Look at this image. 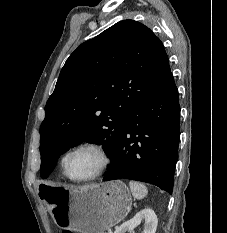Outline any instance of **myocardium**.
I'll return each instance as SVG.
<instances>
[{"instance_id": "myocardium-1", "label": "myocardium", "mask_w": 227, "mask_h": 233, "mask_svg": "<svg viewBox=\"0 0 227 233\" xmlns=\"http://www.w3.org/2000/svg\"><path fill=\"white\" fill-rule=\"evenodd\" d=\"M83 149H91V150L96 151L101 158V164H100L99 168L92 175H90L86 178H82V179H74L69 174L68 162H69L70 157L74 153H76L77 151L83 150ZM110 164H111L110 153L103 144L98 143V142H85V143H82V144L75 146L74 148H72L71 150H69L66 153V156L64 159V164H63V171H64V175L70 181H73L75 183H84V182L95 180V179L99 178L100 176H102L107 171Z\"/></svg>"}]
</instances>
